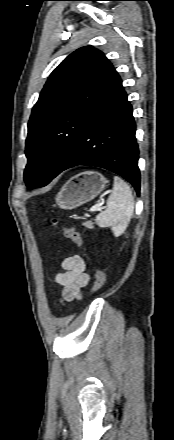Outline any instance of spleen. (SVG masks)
<instances>
[{
  "mask_svg": "<svg viewBox=\"0 0 174 440\" xmlns=\"http://www.w3.org/2000/svg\"><path fill=\"white\" fill-rule=\"evenodd\" d=\"M134 211V198L129 185L114 177L113 192L107 199V208L96 217L100 227H110L115 237L124 233Z\"/></svg>",
  "mask_w": 174,
  "mask_h": 440,
  "instance_id": "spleen-1",
  "label": "spleen"
}]
</instances>
